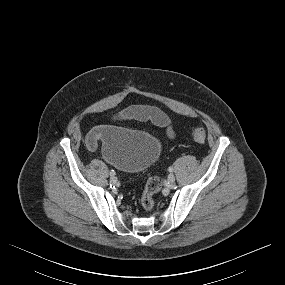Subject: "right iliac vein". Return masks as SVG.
<instances>
[{"label":"right iliac vein","mask_w":285,"mask_h":285,"mask_svg":"<svg viewBox=\"0 0 285 285\" xmlns=\"http://www.w3.org/2000/svg\"><path fill=\"white\" fill-rule=\"evenodd\" d=\"M110 182L113 183V184L116 183L117 182V178L115 176H111L110 177Z\"/></svg>","instance_id":"1"}]
</instances>
